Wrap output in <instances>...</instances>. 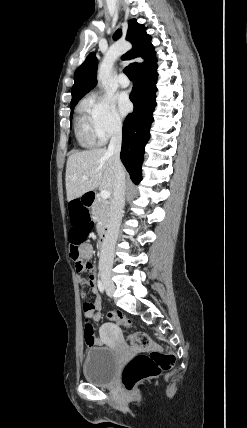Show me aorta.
Here are the masks:
<instances>
[{
    "mask_svg": "<svg viewBox=\"0 0 247 428\" xmlns=\"http://www.w3.org/2000/svg\"><path fill=\"white\" fill-rule=\"evenodd\" d=\"M119 55H120V51L116 48H110L105 54L99 66L98 75H97V79L101 84L102 88H106L108 86L113 64Z\"/></svg>",
    "mask_w": 247,
    "mask_h": 428,
    "instance_id": "1",
    "label": "aorta"
}]
</instances>
